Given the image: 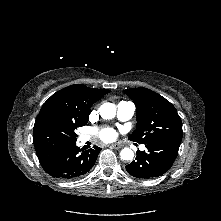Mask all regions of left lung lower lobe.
Masks as SVG:
<instances>
[{
    "label": "left lung lower lobe",
    "instance_id": "obj_1",
    "mask_svg": "<svg viewBox=\"0 0 221 221\" xmlns=\"http://www.w3.org/2000/svg\"><path fill=\"white\" fill-rule=\"evenodd\" d=\"M147 151H138L136 160L126 165L127 172L141 179L162 176L173 165L180 145L168 142L145 144Z\"/></svg>",
    "mask_w": 221,
    "mask_h": 221
}]
</instances>
